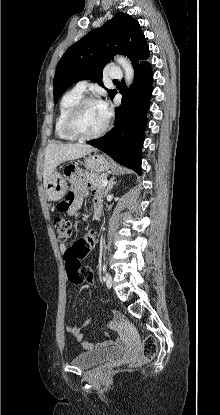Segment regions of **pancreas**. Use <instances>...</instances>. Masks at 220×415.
<instances>
[{"mask_svg": "<svg viewBox=\"0 0 220 415\" xmlns=\"http://www.w3.org/2000/svg\"><path fill=\"white\" fill-rule=\"evenodd\" d=\"M84 179L87 183L91 185L92 189L102 190V181L107 178L105 174H93V173H84Z\"/></svg>", "mask_w": 220, "mask_h": 415, "instance_id": "cf45deb5", "label": "pancreas"}]
</instances>
